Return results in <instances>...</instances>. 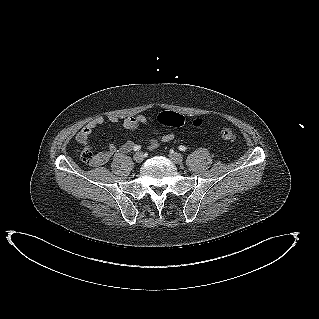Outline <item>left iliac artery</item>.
<instances>
[{
    "mask_svg": "<svg viewBox=\"0 0 319 319\" xmlns=\"http://www.w3.org/2000/svg\"><path fill=\"white\" fill-rule=\"evenodd\" d=\"M186 149H187V148H186L185 146H182V145L179 146V150H180V151H186Z\"/></svg>",
    "mask_w": 319,
    "mask_h": 319,
    "instance_id": "1",
    "label": "left iliac artery"
}]
</instances>
